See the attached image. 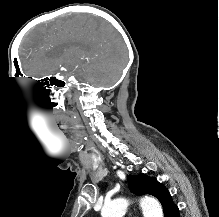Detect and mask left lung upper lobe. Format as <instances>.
Listing matches in <instances>:
<instances>
[{
  "label": "left lung upper lobe",
  "instance_id": "obj_1",
  "mask_svg": "<svg viewBox=\"0 0 219 217\" xmlns=\"http://www.w3.org/2000/svg\"><path fill=\"white\" fill-rule=\"evenodd\" d=\"M129 189L134 194H150L155 196L163 206L165 213L167 208L173 204L169 191L159 183L155 178L140 174L137 176L129 175L127 177Z\"/></svg>",
  "mask_w": 219,
  "mask_h": 217
}]
</instances>
